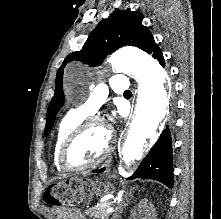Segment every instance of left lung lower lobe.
Segmentation results:
<instances>
[{
	"mask_svg": "<svg viewBox=\"0 0 221 219\" xmlns=\"http://www.w3.org/2000/svg\"><path fill=\"white\" fill-rule=\"evenodd\" d=\"M152 56L161 66H165V60L158 46L153 50ZM173 158L170 131L168 128L162 131L158 141L149 151L138 169L128 179L142 178L154 179L164 183L169 188L173 187ZM105 168L95 170L94 173H102Z\"/></svg>",
	"mask_w": 221,
	"mask_h": 219,
	"instance_id": "obj_1",
	"label": "left lung lower lobe"
}]
</instances>
